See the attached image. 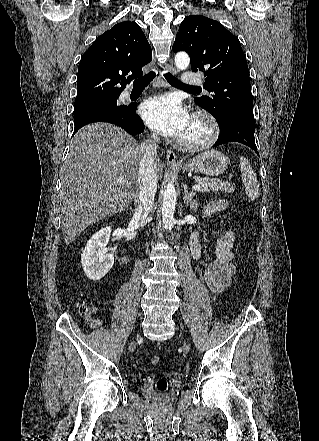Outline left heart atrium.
<instances>
[{
  "mask_svg": "<svg viewBox=\"0 0 319 441\" xmlns=\"http://www.w3.org/2000/svg\"><path fill=\"white\" fill-rule=\"evenodd\" d=\"M140 113L151 129L171 137H183L192 122L187 110L173 95L146 99Z\"/></svg>",
  "mask_w": 319,
  "mask_h": 441,
  "instance_id": "obj_1",
  "label": "left heart atrium"
}]
</instances>
